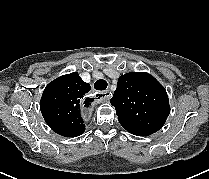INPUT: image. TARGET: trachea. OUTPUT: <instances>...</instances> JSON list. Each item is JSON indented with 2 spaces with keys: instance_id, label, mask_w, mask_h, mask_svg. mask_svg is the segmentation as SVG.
Here are the masks:
<instances>
[{
  "instance_id": "obj_1",
  "label": "trachea",
  "mask_w": 209,
  "mask_h": 179,
  "mask_svg": "<svg viewBox=\"0 0 209 179\" xmlns=\"http://www.w3.org/2000/svg\"><path fill=\"white\" fill-rule=\"evenodd\" d=\"M107 82L103 79L97 80L94 84V88L99 91H103L107 88Z\"/></svg>"
}]
</instances>
